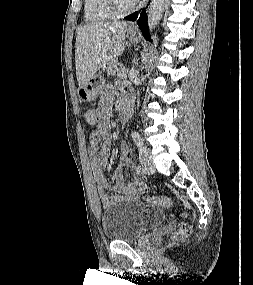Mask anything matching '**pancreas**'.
Instances as JSON below:
<instances>
[{"label":"pancreas","instance_id":"cf45deb5","mask_svg":"<svg viewBox=\"0 0 253 285\" xmlns=\"http://www.w3.org/2000/svg\"><path fill=\"white\" fill-rule=\"evenodd\" d=\"M106 71H107L108 76L113 77V76L118 75L121 72H124L125 68L117 61H112L109 63Z\"/></svg>","mask_w":253,"mask_h":285}]
</instances>
